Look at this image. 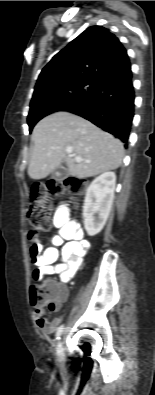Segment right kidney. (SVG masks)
<instances>
[{
  "label": "right kidney",
  "instance_id": "1",
  "mask_svg": "<svg viewBox=\"0 0 155 395\" xmlns=\"http://www.w3.org/2000/svg\"><path fill=\"white\" fill-rule=\"evenodd\" d=\"M115 184V173L105 172L95 178L87 188L83 219L89 236L98 234L104 227L113 204Z\"/></svg>",
  "mask_w": 155,
  "mask_h": 395
}]
</instances>
